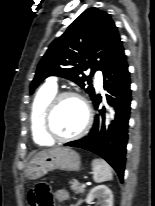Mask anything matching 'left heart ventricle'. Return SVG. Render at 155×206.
I'll use <instances>...</instances> for the list:
<instances>
[{
  "mask_svg": "<svg viewBox=\"0 0 155 206\" xmlns=\"http://www.w3.org/2000/svg\"><path fill=\"white\" fill-rule=\"evenodd\" d=\"M85 122V111L75 98L62 99L56 106L51 120L54 132L59 136H69L78 132Z\"/></svg>",
  "mask_w": 155,
  "mask_h": 206,
  "instance_id": "b2bd125f",
  "label": "left heart ventricle"
}]
</instances>
